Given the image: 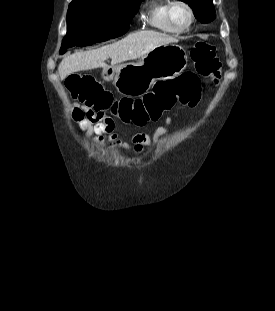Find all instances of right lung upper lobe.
I'll list each match as a JSON object with an SVG mask.
<instances>
[{"mask_svg":"<svg viewBox=\"0 0 275 311\" xmlns=\"http://www.w3.org/2000/svg\"><path fill=\"white\" fill-rule=\"evenodd\" d=\"M79 1H86V0H72V2H79Z\"/></svg>","mask_w":275,"mask_h":311,"instance_id":"right-lung-upper-lobe-1","label":"right lung upper lobe"}]
</instances>
